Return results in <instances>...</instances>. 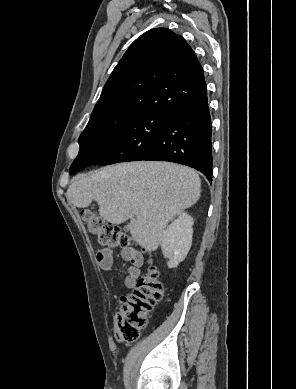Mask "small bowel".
Listing matches in <instances>:
<instances>
[{
  "label": "small bowel",
  "instance_id": "obj_1",
  "mask_svg": "<svg viewBox=\"0 0 296 389\" xmlns=\"http://www.w3.org/2000/svg\"><path fill=\"white\" fill-rule=\"evenodd\" d=\"M120 256L124 261L131 263L128 268L127 276L122 281H120L121 288L129 289L135 286L136 280L141 274L140 268L143 264V255L132 247H126L122 249ZM96 258L103 270L110 271L113 268L114 261L111 250H100L97 253Z\"/></svg>",
  "mask_w": 296,
  "mask_h": 389
}]
</instances>
